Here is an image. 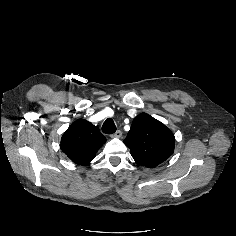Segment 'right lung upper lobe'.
Returning a JSON list of instances; mask_svg holds the SVG:
<instances>
[{"label": "right lung upper lobe", "mask_w": 236, "mask_h": 236, "mask_svg": "<svg viewBox=\"0 0 236 236\" xmlns=\"http://www.w3.org/2000/svg\"><path fill=\"white\" fill-rule=\"evenodd\" d=\"M105 141L97 126L79 119L63 134L61 149L74 163L85 165L95 157L97 150Z\"/></svg>", "instance_id": "right-lung-upper-lobe-1"}]
</instances>
